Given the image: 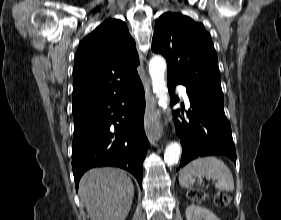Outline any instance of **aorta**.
Returning <instances> with one entry per match:
<instances>
[{
	"instance_id": "1",
	"label": "aorta",
	"mask_w": 281,
	"mask_h": 220,
	"mask_svg": "<svg viewBox=\"0 0 281 220\" xmlns=\"http://www.w3.org/2000/svg\"><path fill=\"white\" fill-rule=\"evenodd\" d=\"M167 65L165 59L160 55H155L149 62V73L152 79L153 91L158 98V104L163 109L169 105V95L165 82V71ZM181 155V146L178 143L169 144L164 153V161L168 166L175 165Z\"/></svg>"
}]
</instances>
